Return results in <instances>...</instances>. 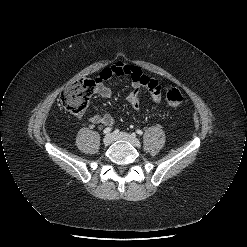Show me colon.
<instances>
[{
    "mask_svg": "<svg viewBox=\"0 0 247 247\" xmlns=\"http://www.w3.org/2000/svg\"><path fill=\"white\" fill-rule=\"evenodd\" d=\"M96 84V80L91 79H83L71 84L60 96L62 107L74 115L83 114L96 90ZM166 101L172 108L179 107L183 101L181 92L174 87L168 88Z\"/></svg>",
    "mask_w": 247,
    "mask_h": 247,
    "instance_id": "colon-1",
    "label": "colon"
}]
</instances>
